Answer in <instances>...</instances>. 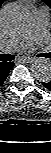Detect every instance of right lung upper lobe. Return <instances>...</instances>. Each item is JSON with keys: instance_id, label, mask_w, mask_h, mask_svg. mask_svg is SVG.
<instances>
[{"instance_id": "cb5924a9", "label": "right lung upper lobe", "mask_w": 51, "mask_h": 153, "mask_svg": "<svg viewBox=\"0 0 51 153\" xmlns=\"http://www.w3.org/2000/svg\"><path fill=\"white\" fill-rule=\"evenodd\" d=\"M3 1H4V0H0V5L2 4ZM1 63H3V62H0V64H1Z\"/></svg>"}]
</instances>
